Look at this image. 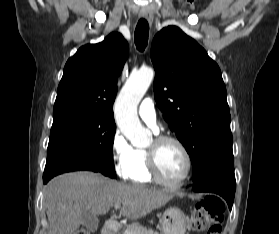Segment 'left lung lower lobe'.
<instances>
[{
	"mask_svg": "<svg viewBox=\"0 0 279 234\" xmlns=\"http://www.w3.org/2000/svg\"><path fill=\"white\" fill-rule=\"evenodd\" d=\"M193 190L196 192H213L222 196L229 209H232L236 190L234 172H217L194 182Z\"/></svg>",
	"mask_w": 279,
	"mask_h": 234,
	"instance_id": "obj_1",
	"label": "left lung lower lobe"
}]
</instances>
